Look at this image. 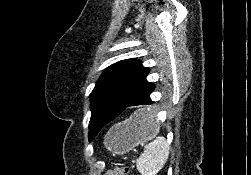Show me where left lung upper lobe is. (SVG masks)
<instances>
[{
    "instance_id": "1",
    "label": "left lung upper lobe",
    "mask_w": 251,
    "mask_h": 175,
    "mask_svg": "<svg viewBox=\"0 0 251 175\" xmlns=\"http://www.w3.org/2000/svg\"><path fill=\"white\" fill-rule=\"evenodd\" d=\"M149 74L138 59H125L106 68L90 94L92 115L89 123V141L105 126L97 119V111L111 103L125 104L138 85Z\"/></svg>"
}]
</instances>
